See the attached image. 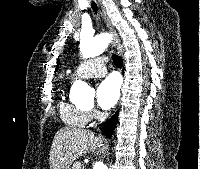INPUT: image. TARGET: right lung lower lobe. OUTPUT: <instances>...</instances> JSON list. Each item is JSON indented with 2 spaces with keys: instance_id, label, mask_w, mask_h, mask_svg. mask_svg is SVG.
<instances>
[{
  "instance_id": "right-lung-lower-lobe-1",
  "label": "right lung lower lobe",
  "mask_w": 200,
  "mask_h": 169,
  "mask_svg": "<svg viewBox=\"0 0 200 169\" xmlns=\"http://www.w3.org/2000/svg\"><path fill=\"white\" fill-rule=\"evenodd\" d=\"M118 121V111L103 125V132L107 137H111Z\"/></svg>"
}]
</instances>
